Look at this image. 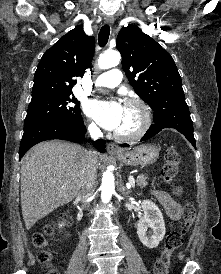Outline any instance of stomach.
Listing matches in <instances>:
<instances>
[{"instance_id":"0dacf381","label":"stomach","mask_w":221,"mask_h":274,"mask_svg":"<svg viewBox=\"0 0 221 274\" xmlns=\"http://www.w3.org/2000/svg\"><path fill=\"white\" fill-rule=\"evenodd\" d=\"M158 157L159 149L151 144H144L134 148L132 151L115 155V158L126 165L141 167L153 164Z\"/></svg>"}]
</instances>
